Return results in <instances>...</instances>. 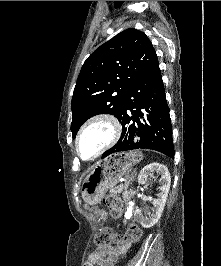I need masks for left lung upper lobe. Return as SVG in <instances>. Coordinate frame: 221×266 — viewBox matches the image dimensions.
Listing matches in <instances>:
<instances>
[{
	"instance_id": "left-lung-upper-lobe-1",
	"label": "left lung upper lobe",
	"mask_w": 221,
	"mask_h": 266,
	"mask_svg": "<svg viewBox=\"0 0 221 266\" xmlns=\"http://www.w3.org/2000/svg\"><path fill=\"white\" fill-rule=\"evenodd\" d=\"M158 65L151 41L134 28L98 47L85 60L74 88L73 138L80 126L95 115L112 114L119 120L131 86Z\"/></svg>"
}]
</instances>
